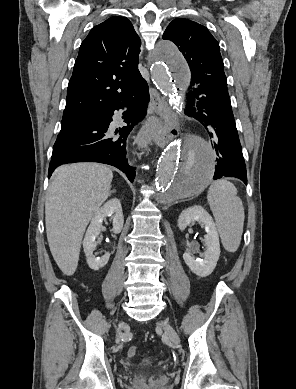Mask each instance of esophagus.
I'll list each match as a JSON object with an SVG mask.
<instances>
[{
  "instance_id": "esophagus-1",
  "label": "esophagus",
  "mask_w": 296,
  "mask_h": 389,
  "mask_svg": "<svg viewBox=\"0 0 296 389\" xmlns=\"http://www.w3.org/2000/svg\"><path fill=\"white\" fill-rule=\"evenodd\" d=\"M150 108L153 111L149 116V122H144L140 126V131L134 133L133 139L138 149L143 150L151 142L152 131H157L165 127L172 117V111L165 100L154 88H150Z\"/></svg>"
}]
</instances>
